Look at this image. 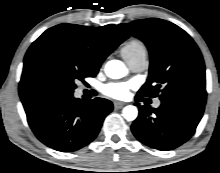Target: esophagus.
<instances>
[{
  "label": "esophagus",
  "instance_id": "esophagus-1",
  "mask_svg": "<svg viewBox=\"0 0 220 173\" xmlns=\"http://www.w3.org/2000/svg\"><path fill=\"white\" fill-rule=\"evenodd\" d=\"M124 105H125V103L120 102V101H115V102H114V108H115V109H120V108H122Z\"/></svg>",
  "mask_w": 220,
  "mask_h": 173
}]
</instances>
